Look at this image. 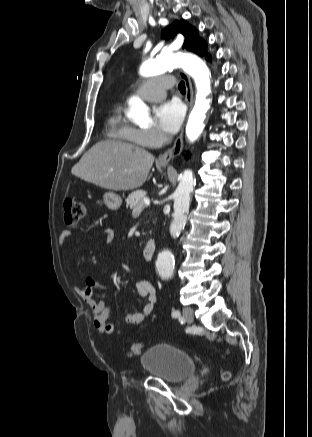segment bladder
Wrapping results in <instances>:
<instances>
[{"label":"bladder","mask_w":312,"mask_h":437,"mask_svg":"<svg viewBox=\"0 0 312 437\" xmlns=\"http://www.w3.org/2000/svg\"><path fill=\"white\" fill-rule=\"evenodd\" d=\"M140 363L148 375L170 384L189 378L196 370V364L188 354L167 343L149 347L141 354Z\"/></svg>","instance_id":"bladder-1"}]
</instances>
